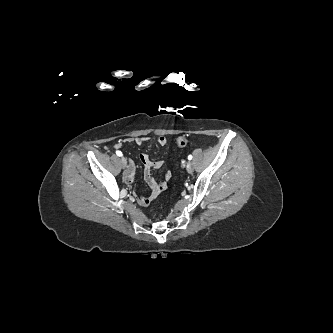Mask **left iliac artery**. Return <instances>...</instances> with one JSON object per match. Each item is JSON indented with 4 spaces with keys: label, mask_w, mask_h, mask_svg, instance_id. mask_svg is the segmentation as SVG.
I'll use <instances>...</instances> for the list:
<instances>
[{
    "label": "left iliac artery",
    "mask_w": 333,
    "mask_h": 333,
    "mask_svg": "<svg viewBox=\"0 0 333 333\" xmlns=\"http://www.w3.org/2000/svg\"><path fill=\"white\" fill-rule=\"evenodd\" d=\"M191 159H192V155H189V156H188V160H191Z\"/></svg>",
    "instance_id": "1"
}]
</instances>
